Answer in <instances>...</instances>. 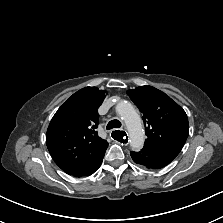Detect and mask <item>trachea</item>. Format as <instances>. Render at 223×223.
Returning <instances> with one entry per match:
<instances>
[{
    "mask_svg": "<svg viewBox=\"0 0 223 223\" xmlns=\"http://www.w3.org/2000/svg\"><path fill=\"white\" fill-rule=\"evenodd\" d=\"M121 127V122L117 119H114V120H111L107 126H106V129L107 130H111L113 128H120Z\"/></svg>",
    "mask_w": 223,
    "mask_h": 223,
    "instance_id": "obj_1",
    "label": "trachea"
}]
</instances>
